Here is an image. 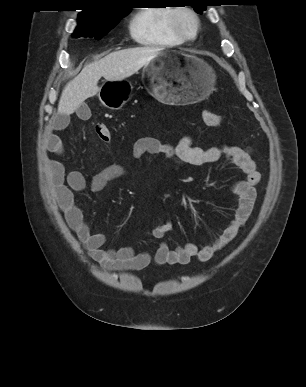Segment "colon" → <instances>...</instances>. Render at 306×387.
I'll return each instance as SVG.
<instances>
[{
    "mask_svg": "<svg viewBox=\"0 0 306 387\" xmlns=\"http://www.w3.org/2000/svg\"><path fill=\"white\" fill-rule=\"evenodd\" d=\"M203 119L205 123L209 126H218L222 121V117L212 111H205L203 113ZM95 131L101 141L106 143L111 141L112 133L110 128L106 124L98 123L95 126Z\"/></svg>",
    "mask_w": 306,
    "mask_h": 387,
    "instance_id": "5ec220e1",
    "label": "colon"
}]
</instances>
